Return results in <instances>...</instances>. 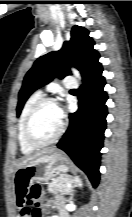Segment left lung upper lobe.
Listing matches in <instances>:
<instances>
[{"label": "left lung upper lobe", "mask_w": 132, "mask_h": 217, "mask_svg": "<svg viewBox=\"0 0 132 217\" xmlns=\"http://www.w3.org/2000/svg\"><path fill=\"white\" fill-rule=\"evenodd\" d=\"M93 46L89 31L74 26L70 41L65 42L61 50L38 58L24 77L18 96L17 115H20L26 100L36 89L49 83L55 76L63 78L70 75V66L80 71L83 80L90 75L100 65L99 53Z\"/></svg>", "instance_id": "left-lung-upper-lobe-1"}]
</instances>
